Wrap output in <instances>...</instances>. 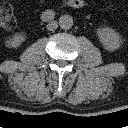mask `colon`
Here are the masks:
<instances>
[{
	"label": "colon",
	"mask_w": 128,
	"mask_h": 128,
	"mask_svg": "<svg viewBox=\"0 0 128 128\" xmlns=\"http://www.w3.org/2000/svg\"><path fill=\"white\" fill-rule=\"evenodd\" d=\"M15 24L13 10L8 2L0 3V27L12 28Z\"/></svg>",
	"instance_id": "5ec220e1"
}]
</instances>
